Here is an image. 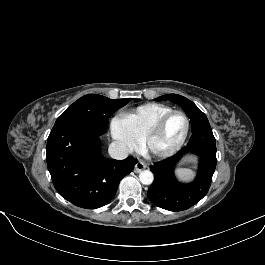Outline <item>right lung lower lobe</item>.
<instances>
[{
  "label": "right lung lower lobe",
  "mask_w": 265,
  "mask_h": 265,
  "mask_svg": "<svg viewBox=\"0 0 265 265\" xmlns=\"http://www.w3.org/2000/svg\"><path fill=\"white\" fill-rule=\"evenodd\" d=\"M101 127L84 122L54 125L47 141V167L57 192L72 204L96 209L115 195L121 179L138 162L104 158Z\"/></svg>",
  "instance_id": "98d812e1"
}]
</instances>
